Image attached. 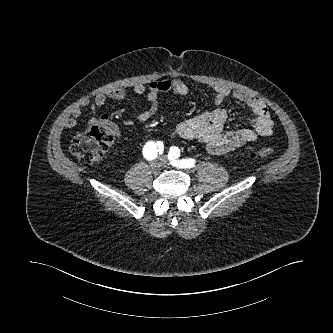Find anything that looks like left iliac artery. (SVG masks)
<instances>
[{
    "instance_id": "1",
    "label": "left iliac artery",
    "mask_w": 333,
    "mask_h": 333,
    "mask_svg": "<svg viewBox=\"0 0 333 333\" xmlns=\"http://www.w3.org/2000/svg\"><path fill=\"white\" fill-rule=\"evenodd\" d=\"M180 156V150L178 147H171L168 153V159L171 161V164L180 168H191L195 164L194 159H182L177 160Z\"/></svg>"
}]
</instances>
